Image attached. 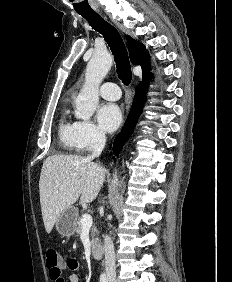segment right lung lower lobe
Masks as SVG:
<instances>
[{
  "label": "right lung lower lobe",
  "mask_w": 232,
  "mask_h": 282,
  "mask_svg": "<svg viewBox=\"0 0 232 282\" xmlns=\"http://www.w3.org/2000/svg\"><path fill=\"white\" fill-rule=\"evenodd\" d=\"M152 74L143 75L144 80L140 83V85L136 89L134 101L128 115V119L125 123V126L122 132L115 138L113 144V153L117 156L120 152L123 143L129 138L132 134L137 120L142 112L143 103L146 101V94L145 91L148 87L149 80L151 79Z\"/></svg>",
  "instance_id": "right-lung-lower-lobe-1"
}]
</instances>
